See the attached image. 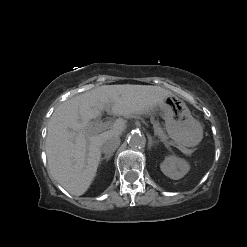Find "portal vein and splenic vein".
I'll return each instance as SVG.
<instances>
[{
  "label": "portal vein and splenic vein",
  "instance_id": "1",
  "mask_svg": "<svg viewBox=\"0 0 247 247\" xmlns=\"http://www.w3.org/2000/svg\"><path fill=\"white\" fill-rule=\"evenodd\" d=\"M121 121L119 120H116L114 123H113V126L115 125H118ZM112 125V123L110 121H107V122H96L95 123V127L93 128L94 131L96 132H100L101 130H103L104 128H109L110 126ZM156 134V133H155ZM157 135V134H156ZM160 138V137H159ZM160 140L162 142H164L165 144H168V145H172L171 143H166L164 139L160 138Z\"/></svg>",
  "mask_w": 247,
  "mask_h": 247
}]
</instances>
